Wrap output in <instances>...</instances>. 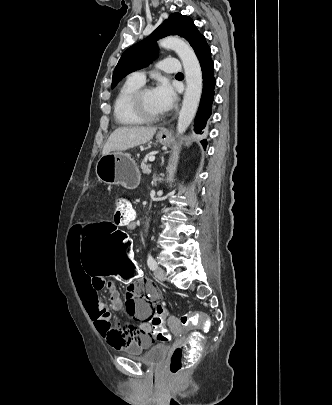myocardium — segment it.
I'll use <instances>...</instances> for the list:
<instances>
[{
	"label": "myocardium",
	"mask_w": 332,
	"mask_h": 405,
	"mask_svg": "<svg viewBox=\"0 0 332 405\" xmlns=\"http://www.w3.org/2000/svg\"><path fill=\"white\" fill-rule=\"evenodd\" d=\"M152 90L150 86H141L132 96L131 108L137 118L144 123H152L162 119L163 115L155 116L147 112L144 106V95L147 91Z\"/></svg>",
	"instance_id": "1"
}]
</instances>
